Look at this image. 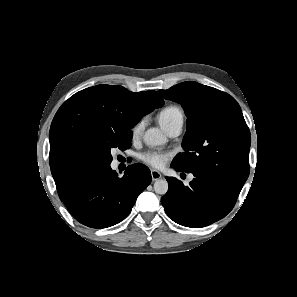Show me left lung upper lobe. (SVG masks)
<instances>
[{
  "label": "left lung upper lobe",
  "mask_w": 297,
  "mask_h": 297,
  "mask_svg": "<svg viewBox=\"0 0 297 297\" xmlns=\"http://www.w3.org/2000/svg\"><path fill=\"white\" fill-rule=\"evenodd\" d=\"M159 93L180 103L187 116L184 151L171 165L217 180L239 193L249 176L251 136L237 101L225 92L193 81Z\"/></svg>",
  "instance_id": "5c2ea615"
}]
</instances>
